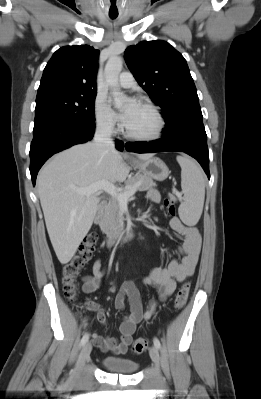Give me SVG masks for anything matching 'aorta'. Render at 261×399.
<instances>
[{
  "mask_svg": "<svg viewBox=\"0 0 261 399\" xmlns=\"http://www.w3.org/2000/svg\"><path fill=\"white\" fill-rule=\"evenodd\" d=\"M123 68V60L121 57L112 56L108 59L105 66V79L106 83L111 89L115 104L121 107L126 100V96L119 88V74Z\"/></svg>",
  "mask_w": 261,
  "mask_h": 399,
  "instance_id": "762f6f07",
  "label": "aorta"
}]
</instances>
